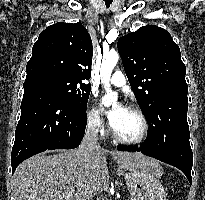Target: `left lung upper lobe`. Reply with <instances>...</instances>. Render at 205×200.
<instances>
[{"mask_svg": "<svg viewBox=\"0 0 205 200\" xmlns=\"http://www.w3.org/2000/svg\"><path fill=\"white\" fill-rule=\"evenodd\" d=\"M125 73L142 109L149 129L167 112H156L159 98L172 93H188L186 67L178 45L168 31L150 25L118 40Z\"/></svg>", "mask_w": 205, "mask_h": 200, "instance_id": "1", "label": "left lung upper lobe"}]
</instances>
